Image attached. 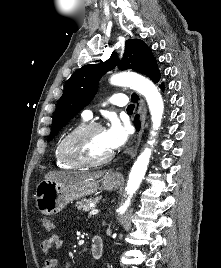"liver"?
Here are the masks:
<instances>
[{"label":"liver","instance_id":"liver-1","mask_svg":"<svg viewBox=\"0 0 221 268\" xmlns=\"http://www.w3.org/2000/svg\"><path fill=\"white\" fill-rule=\"evenodd\" d=\"M104 175V172H65L50 171L44 178L46 181L76 183L81 181L97 180Z\"/></svg>","mask_w":221,"mask_h":268}]
</instances>
